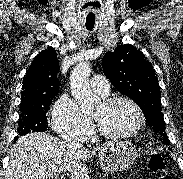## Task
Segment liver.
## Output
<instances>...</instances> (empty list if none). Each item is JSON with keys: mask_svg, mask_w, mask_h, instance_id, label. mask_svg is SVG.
Here are the masks:
<instances>
[{"mask_svg": "<svg viewBox=\"0 0 183 179\" xmlns=\"http://www.w3.org/2000/svg\"><path fill=\"white\" fill-rule=\"evenodd\" d=\"M103 146L71 150L50 134L32 132L15 142L4 179H52L61 172H69L71 179H89L85 162Z\"/></svg>", "mask_w": 183, "mask_h": 179, "instance_id": "6515ba94", "label": "liver"}]
</instances>
